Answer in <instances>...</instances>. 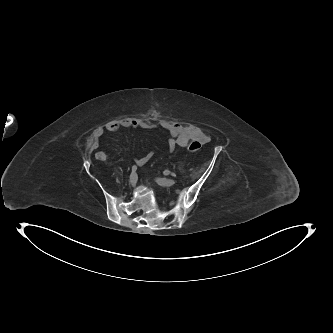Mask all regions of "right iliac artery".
Listing matches in <instances>:
<instances>
[{"label": "right iliac artery", "mask_w": 333, "mask_h": 333, "mask_svg": "<svg viewBox=\"0 0 333 333\" xmlns=\"http://www.w3.org/2000/svg\"><path fill=\"white\" fill-rule=\"evenodd\" d=\"M136 170H137V166H136V165H133V166H132V172H136Z\"/></svg>", "instance_id": "1"}]
</instances>
